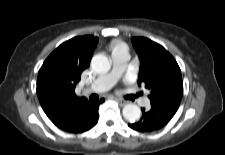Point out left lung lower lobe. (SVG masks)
Returning a JSON list of instances; mask_svg holds the SVG:
<instances>
[{
  "mask_svg": "<svg viewBox=\"0 0 225 155\" xmlns=\"http://www.w3.org/2000/svg\"><path fill=\"white\" fill-rule=\"evenodd\" d=\"M143 115L139 121L128 124L130 128L140 132H151L163 128L176 112L162 108L151 107L149 110L142 109Z\"/></svg>",
  "mask_w": 225,
  "mask_h": 155,
  "instance_id": "left-lung-lower-lobe-1",
  "label": "left lung lower lobe"
}]
</instances>
